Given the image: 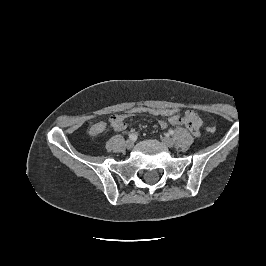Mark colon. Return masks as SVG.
I'll return each instance as SVG.
<instances>
[{"instance_id":"colon-1","label":"colon","mask_w":266,"mask_h":266,"mask_svg":"<svg viewBox=\"0 0 266 266\" xmlns=\"http://www.w3.org/2000/svg\"><path fill=\"white\" fill-rule=\"evenodd\" d=\"M142 114H148L156 117H171L176 114H179V109L174 107H150V106L137 105L129 109L124 114L112 115L110 121L116 119L119 115L122 116L123 118H127ZM207 131L210 133H214L216 131V127L209 126L207 127Z\"/></svg>"}]
</instances>
